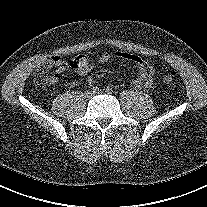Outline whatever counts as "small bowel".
Returning <instances> with one entry per match:
<instances>
[{
    "label": "small bowel",
    "instance_id": "c3829d8e",
    "mask_svg": "<svg viewBox=\"0 0 207 207\" xmlns=\"http://www.w3.org/2000/svg\"><path fill=\"white\" fill-rule=\"evenodd\" d=\"M112 58H122L133 61L139 68L138 76L132 81L133 87L144 90L151 88L155 77V70L150 62L143 60L136 55L121 52L114 54L102 53L96 58V60L97 62L104 64L109 62ZM72 64L75 72L80 76L87 75L92 70L94 65L93 60L87 55L78 56L73 60ZM87 81L89 84L94 83V79L92 77H88Z\"/></svg>",
    "mask_w": 207,
    "mask_h": 207
}]
</instances>
